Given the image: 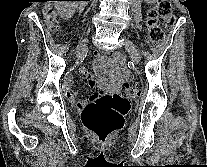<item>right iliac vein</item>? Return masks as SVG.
Instances as JSON below:
<instances>
[{
	"instance_id": "obj_1",
	"label": "right iliac vein",
	"mask_w": 207,
	"mask_h": 167,
	"mask_svg": "<svg viewBox=\"0 0 207 167\" xmlns=\"http://www.w3.org/2000/svg\"><path fill=\"white\" fill-rule=\"evenodd\" d=\"M88 39H84L78 46L77 53L80 54L87 46Z\"/></svg>"
}]
</instances>
